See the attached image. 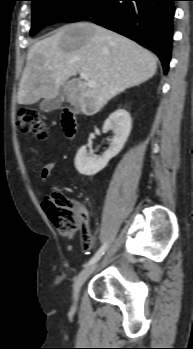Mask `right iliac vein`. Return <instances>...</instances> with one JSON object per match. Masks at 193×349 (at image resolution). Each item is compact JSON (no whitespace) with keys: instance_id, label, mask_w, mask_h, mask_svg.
Listing matches in <instances>:
<instances>
[{"instance_id":"63e3f726","label":"right iliac vein","mask_w":193,"mask_h":349,"mask_svg":"<svg viewBox=\"0 0 193 349\" xmlns=\"http://www.w3.org/2000/svg\"><path fill=\"white\" fill-rule=\"evenodd\" d=\"M96 267H97V264L89 265L85 269H83L82 272L78 275L73 287L74 304H77L81 287L87 281V279L92 275Z\"/></svg>"}]
</instances>
